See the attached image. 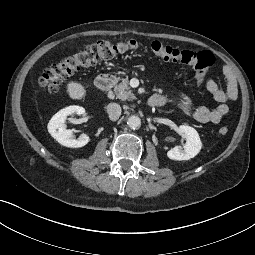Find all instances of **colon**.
Wrapping results in <instances>:
<instances>
[{"instance_id": "5ec220e1", "label": "colon", "mask_w": 255, "mask_h": 255, "mask_svg": "<svg viewBox=\"0 0 255 255\" xmlns=\"http://www.w3.org/2000/svg\"><path fill=\"white\" fill-rule=\"evenodd\" d=\"M138 49L139 44L135 40L95 42L47 68L40 78V85L50 92H56L66 78L80 69L94 65L101 60L113 58L118 54ZM150 49L160 60L192 66L195 71L196 82L200 86L204 85L207 73L215 62L213 54L208 51L179 50L159 41L152 42ZM227 133L228 128L226 126L219 128V134L225 135Z\"/></svg>"}]
</instances>
